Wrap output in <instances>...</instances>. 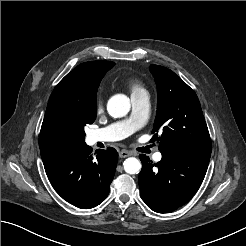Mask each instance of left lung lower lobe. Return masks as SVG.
<instances>
[{"label":"left lung lower lobe","mask_w":246,"mask_h":246,"mask_svg":"<svg viewBox=\"0 0 246 246\" xmlns=\"http://www.w3.org/2000/svg\"><path fill=\"white\" fill-rule=\"evenodd\" d=\"M157 164L141 154L140 194L149 208L168 213L187 203L197 192L206 174L211 152L194 150L162 151Z\"/></svg>","instance_id":"left-lung-lower-lobe-1"}]
</instances>
